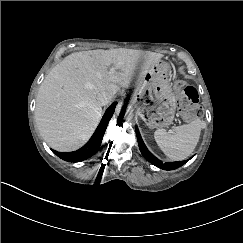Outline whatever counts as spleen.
I'll return each instance as SVG.
<instances>
[{
	"label": "spleen",
	"instance_id": "spleen-1",
	"mask_svg": "<svg viewBox=\"0 0 243 243\" xmlns=\"http://www.w3.org/2000/svg\"><path fill=\"white\" fill-rule=\"evenodd\" d=\"M201 121L196 119L189 124L174 128V133L157 129L154 138L160 149L173 160L186 159L195 149L200 133Z\"/></svg>",
	"mask_w": 243,
	"mask_h": 243
}]
</instances>
